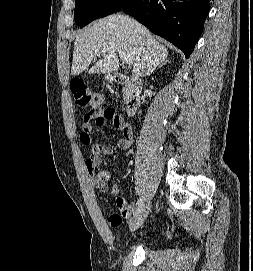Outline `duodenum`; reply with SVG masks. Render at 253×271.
I'll use <instances>...</instances> for the list:
<instances>
[{
	"label": "duodenum",
	"instance_id": "duodenum-1",
	"mask_svg": "<svg viewBox=\"0 0 253 271\" xmlns=\"http://www.w3.org/2000/svg\"><path fill=\"white\" fill-rule=\"evenodd\" d=\"M114 80L117 84L124 86L125 111L127 115L132 116L140 106L142 83L140 80L131 79L122 73H116Z\"/></svg>",
	"mask_w": 253,
	"mask_h": 271
}]
</instances>
